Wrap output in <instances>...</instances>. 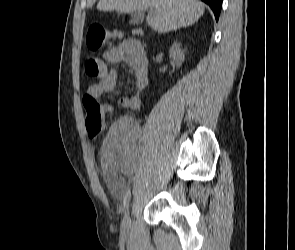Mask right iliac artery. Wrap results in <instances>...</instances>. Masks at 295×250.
<instances>
[{"mask_svg": "<svg viewBox=\"0 0 295 250\" xmlns=\"http://www.w3.org/2000/svg\"><path fill=\"white\" fill-rule=\"evenodd\" d=\"M130 197H131V191H130V189H128V191L126 192V194L124 196V200H123L124 210H126L128 208Z\"/></svg>", "mask_w": 295, "mask_h": 250, "instance_id": "1", "label": "right iliac artery"}]
</instances>
